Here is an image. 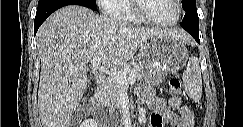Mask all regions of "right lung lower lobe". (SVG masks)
<instances>
[{
	"label": "right lung lower lobe",
	"mask_w": 243,
	"mask_h": 127,
	"mask_svg": "<svg viewBox=\"0 0 243 127\" xmlns=\"http://www.w3.org/2000/svg\"><path fill=\"white\" fill-rule=\"evenodd\" d=\"M67 5H81L88 7L83 0H44L38 3L37 13L34 20V33L46 20V18L57 9Z\"/></svg>",
	"instance_id": "obj_1"
}]
</instances>
